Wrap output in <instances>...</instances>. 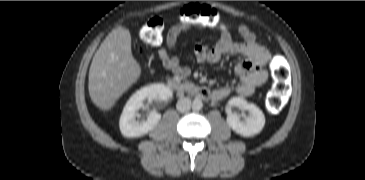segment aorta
Segmentation results:
<instances>
[{"instance_id":"obj_1","label":"aorta","mask_w":365,"mask_h":180,"mask_svg":"<svg viewBox=\"0 0 365 180\" xmlns=\"http://www.w3.org/2000/svg\"><path fill=\"white\" fill-rule=\"evenodd\" d=\"M192 109L195 110V111H199L202 109L203 107V103L200 99H195L193 102H192Z\"/></svg>"}]
</instances>
